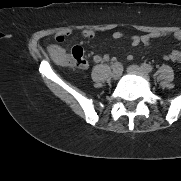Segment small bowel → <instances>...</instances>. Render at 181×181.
Here are the masks:
<instances>
[{
	"instance_id": "c3829d8e",
	"label": "small bowel",
	"mask_w": 181,
	"mask_h": 181,
	"mask_svg": "<svg viewBox=\"0 0 181 181\" xmlns=\"http://www.w3.org/2000/svg\"><path fill=\"white\" fill-rule=\"evenodd\" d=\"M60 36H63V35H60ZM85 36L88 37V38H92L94 36L93 32H87L85 33ZM124 34L122 32H115L113 34V37L115 39H118V38H121L123 37ZM176 38L180 39L181 40V33H177L176 35ZM64 37V36H63ZM154 35L153 34H148V35H143V36H134L132 38V43L133 45H138L140 43H148L149 40L151 38H153ZM169 58L174 61V62H181V51H178V50H174L170 55H169ZM108 59V55H103V56H96L95 57V60L96 61H102V60H107Z\"/></svg>"
}]
</instances>
